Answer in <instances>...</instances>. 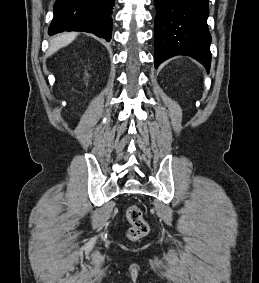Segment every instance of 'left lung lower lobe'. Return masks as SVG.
<instances>
[{
  "instance_id": "left-lung-lower-lobe-1",
  "label": "left lung lower lobe",
  "mask_w": 259,
  "mask_h": 283,
  "mask_svg": "<svg viewBox=\"0 0 259 283\" xmlns=\"http://www.w3.org/2000/svg\"><path fill=\"white\" fill-rule=\"evenodd\" d=\"M155 68L175 55H188L210 69L208 0H155Z\"/></svg>"
}]
</instances>
